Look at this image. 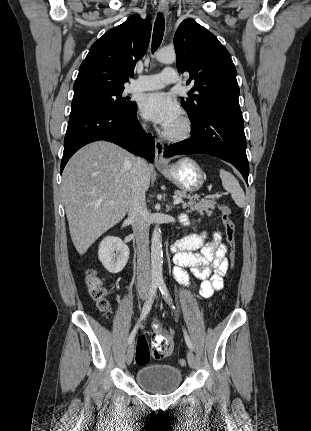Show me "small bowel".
Returning <instances> with one entry per match:
<instances>
[{"mask_svg":"<svg viewBox=\"0 0 311 431\" xmlns=\"http://www.w3.org/2000/svg\"><path fill=\"white\" fill-rule=\"evenodd\" d=\"M179 221L184 229L190 226L185 215H181ZM206 237V232L188 231L173 246L174 262L178 266V279L187 284V276L182 268H189L191 273L201 280L199 294L203 298H209L223 288V277L228 271L227 248L222 243L221 234L214 232L211 241L208 242ZM154 328L156 337L171 340V333L164 334L159 324L155 323Z\"/></svg>","mask_w":311,"mask_h":431,"instance_id":"c3829d8e","label":"small bowel"}]
</instances>
